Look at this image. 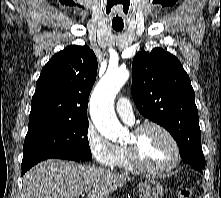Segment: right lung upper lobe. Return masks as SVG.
<instances>
[{"instance_id": "right-lung-upper-lobe-1", "label": "right lung upper lobe", "mask_w": 221, "mask_h": 198, "mask_svg": "<svg viewBox=\"0 0 221 198\" xmlns=\"http://www.w3.org/2000/svg\"><path fill=\"white\" fill-rule=\"evenodd\" d=\"M97 58L86 46L71 45L43 67L31 101L29 122L88 119V98L97 75Z\"/></svg>"}]
</instances>
